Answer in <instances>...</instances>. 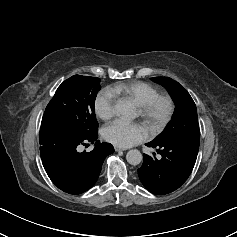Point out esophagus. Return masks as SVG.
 Wrapping results in <instances>:
<instances>
[{"mask_svg": "<svg viewBox=\"0 0 237 237\" xmlns=\"http://www.w3.org/2000/svg\"><path fill=\"white\" fill-rule=\"evenodd\" d=\"M114 150H115L116 152H119V151H124L125 149H122V148H120V147L114 146Z\"/></svg>", "mask_w": 237, "mask_h": 237, "instance_id": "obj_1", "label": "esophagus"}]
</instances>
